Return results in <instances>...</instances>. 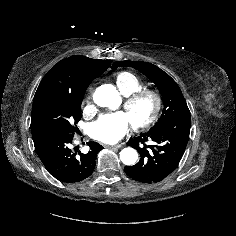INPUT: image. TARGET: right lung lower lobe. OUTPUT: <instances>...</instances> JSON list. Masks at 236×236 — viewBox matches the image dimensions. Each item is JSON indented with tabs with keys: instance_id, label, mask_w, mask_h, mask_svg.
Wrapping results in <instances>:
<instances>
[{
	"instance_id": "1",
	"label": "right lung lower lobe",
	"mask_w": 236,
	"mask_h": 236,
	"mask_svg": "<svg viewBox=\"0 0 236 236\" xmlns=\"http://www.w3.org/2000/svg\"><path fill=\"white\" fill-rule=\"evenodd\" d=\"M35 151L47 171L65 183L79 182L89 177L96 165L97 153L103 148L88 142L90 151L83 154L71 149L73 136L45 129H31Z\"/></svg>"
}]
</instances>
